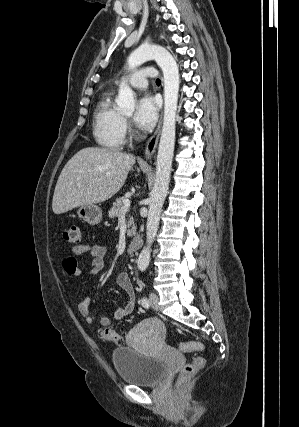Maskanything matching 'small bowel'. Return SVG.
<instances>
[{"label":"small bowel","instance_id":"c3829d8e","mask_svg":"<svg viewBox=\"0 0 299 427\" xmlns=\"http://www.w3.org/2000/svg\"><path fill=\"white\" fill-rule=\"evenodd\" d=\"M87 255L91 258L89 273L92 275L100 273L105 267V258L107 249L100 244H81L72 249V254L64 259L62 265L65 273L72 278H81V269L76 262V257ZM117 284L125 291L127 301L124 306L114 312L116 320L123 319L130 315L135 308V291L127 272H120L116 278ZM90 297H83L78 303V312L89 325L99 323L100 327L109 326L111 320L106 315H100L98 318L90 312Z\"/></svg>","mask_w":299,"mask_h":427}]
</instances>
